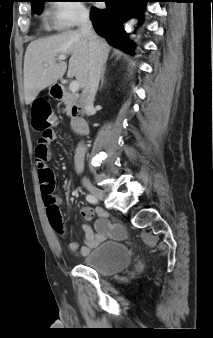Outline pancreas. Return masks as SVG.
Returning <instances> with one entry per match:
<instances>
[{"mask_svg": "<svg viewBox=\"0 0 213 338\" xmlns=\"http://www.w3.org/2000/svg\"><path fill=\"white\" fill-rule=\"evenodd\" d=\"M66 104V111H67V114L70 115L71 113V105L68 101L65 102Z\"/></svg>", "mask_w": 213, "mask_h": 338, "instance_id": "pancreas-1", "label": "pancreas"}]
</instances>
